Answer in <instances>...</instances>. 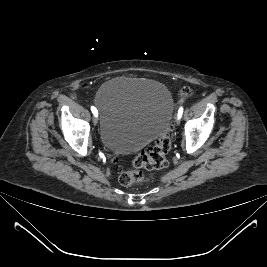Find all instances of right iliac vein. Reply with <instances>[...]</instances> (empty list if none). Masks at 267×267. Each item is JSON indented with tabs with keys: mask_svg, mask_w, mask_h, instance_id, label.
Returning a JSON list of instances; mask_svg holds the SVG:
<instances>
[{
	"mask_svg": "<svg viewBox=\"0 0 267 267\" xmlns=\"http://www.w3.org/2000/svg\"><path fill=\"white\" fill-rule=\"evenodd\" d=\"M93 122H94V125H97V123H98L97 118H93Z\"/></svg>",
	"mask_w": 267,
	"mask_h": 267,
	"instance_id": "1",
	"label": "right iliac vein"
}]
</instances>
